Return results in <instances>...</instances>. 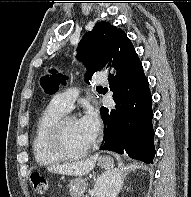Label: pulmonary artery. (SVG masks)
<instances>
[{"label": "pulmonary artery", "instance_id": "e3ab8cb5", "mask_svg": "<svg viewBox=\"0 0 191 197\" xmlns=\"http://www.w3.org/2000/svg\"><path fill=\"white\" fill-rule=\"evenodd\" d=\"M106 74L104 72H99L96 75V84H104ZM79 96V90L76 88H69L61 93L56 94L52 102L59 107L64 112H69L72 109L73 103Z\"/></svg>", "mask_w": 191, "mask_h": 197}]
</instances>
